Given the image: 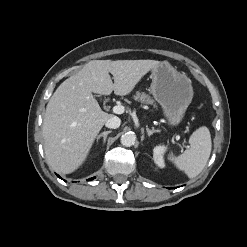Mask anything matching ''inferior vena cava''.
<instances>
[{
  "label": "inferior vena cava",
  "instance_id": "inferior-vena-cava-1",
  "mask_svg": "<svg viewBox=\"0 0 247 247\" xmlns=\"http://www.w3.org/2000/svg\"><path fill=\"white\" fill-rule=\"evenodd\" d=\"M121 120L117 116H111L107 121H106V127L111 128V129H116L120 126Z\"/></svg>",
  "mask_w": 247,
  "mask_h": 247
}]
</instances>
